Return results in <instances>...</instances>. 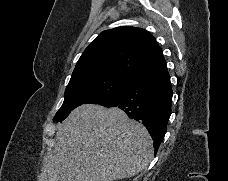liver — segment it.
Masks as SVG:
<instances>
[{
	"label": "liver",
	"mask_w": 228,
	"mask_h": 181,
	"mask_svg": "<svg viewBox=\"0 0 228 181\" xmlns=\"http://www.w3.org/2000/svg\"><path fill=\"white\" fill-rule=\"evenodd\" d=\"M41 181H120L148 167L153 141L118 107L81 105L59 125Z\"/></svg>",
	"instance_id": "1"
}]
</instances>
